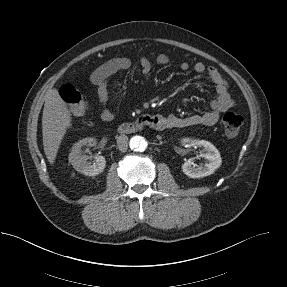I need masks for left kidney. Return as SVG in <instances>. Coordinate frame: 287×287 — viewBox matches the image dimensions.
<instances>
[{"mask_svg":"<svg viewBox=\"0 0 287 287\" xmlns=\"http://www.w3.org/2000/svg\"><path fill=\"white\" fill-rule=\"evenodd\" d=\"M189 142H193L198 147L204 148L205 153L201 154V156L206 159V163L196 166L191 160H188L182 165L184 174L190 178H202L213 174L222 164L219 151L212 143L205 140H191L189 138L182 140L183 145Z\"/></svg>","mask_w":287,"mask_h":287,"instance_id":"1","label":"left kidney"}]
</instances>
